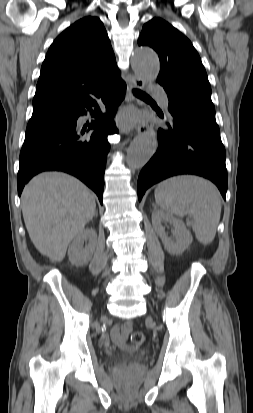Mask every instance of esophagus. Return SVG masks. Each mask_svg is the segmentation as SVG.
<instances>
[{
  "mask_svg": "<svg viewBox=\"0 0 253 413\" xmlns=\"http://www.w3.org/2000/svg\"><path fill=\"white\" fill-rule=\"evenodd\" d=\"M133 87H136V88L142 90V89L144 88V81L141 80V79L138 78V77H134V79H133ZM148 130H149V125H148V124H145V123L139 124V125L136 127V132H138V133L146 132V131H148Z\"/></svg>",
  "mask_w": 253,
  "mask_h": 413,
  "instance_id": "obj_1",
  "label": "esophagus"
}]
</instances>
